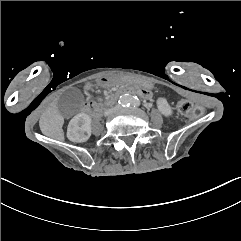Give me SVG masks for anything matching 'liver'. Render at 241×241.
Listing matches in <instances>:
<instances>
[{
	"label": "liver",
	"mask_w": 241,
	"mask_h": 241,
	"mask_svg": "<svg viewBox=\"0 0 241 241\" xmlns=\"http://www.w3.org/2000/svg\"><path fill=\"white\" fill-rule=\"evenodd\" d=\"M64 123V116L59 112L56 106L52 105L42 114L39 126L43 135L59 141H64Z\"/></svg>",
	"instance_id": "6515ba94"
}]
</instances>
